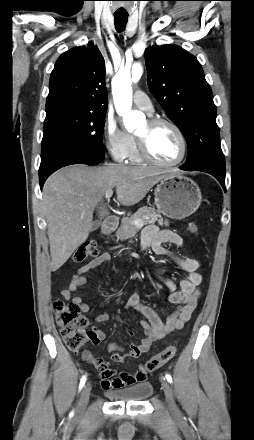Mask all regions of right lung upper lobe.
Listing matches in <instances>:
<instances>
[{
  "label": "right lung upper lobe",
  "mask_w": 254,
  "mask_h": 440,
  "mask_svg": "<svg viewBox=\"0 0 254 440\" xmlns=\"http://www.w3.org/2000/svg\"><path fill=\"white\" fill-rule=\"evenodd\" d=\"M64 105L93 112L107 110L105 62L93 44L63 53L51 72L46 110Z\"/></svg>",
  "instance_id": "1"
}]
</instances>
